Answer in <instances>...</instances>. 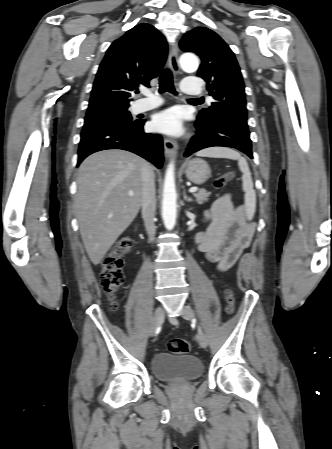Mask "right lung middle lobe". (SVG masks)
<instances>
[{"label":"right lung middle lobe","instance_id":"right-lung-middle-lobe-1","mask_svg":"<svg viewBox=\"0 0 332 449\" xmlns=\"http://www.w3.org/2000/svg\"><path fill=\"white\" fill-rule=\"evenodd\" d=\"M127 108L128 107L89 112L85 116L83 129L98 125H129L134 121Z\"/></svg>","mask_w":332,"mask_h":449}]
</instances>
